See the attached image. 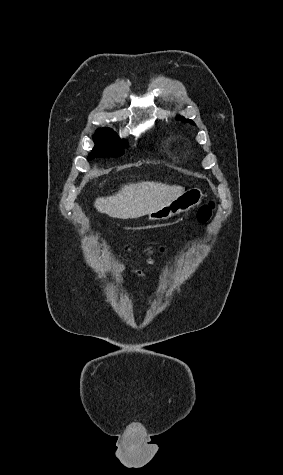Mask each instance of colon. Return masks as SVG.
<instances>
[{
	"mask_svg": "<svg viewBox=\"0 0 283 475\" xmlns=\"http://www.w3.org/2000/svg\"><path fill=\"white\" fill-rule=\"evenodd\" d=\"M214 211H215V204L213 202H210V203H207V204H204L202 206L199 207L198 211H197V221L198 223L200 224H205L207 223L213 216L214 214ZM129 250H126V252H128ZM147 255H151L152 254V249L151 248H147V251H146Z\"/></svg>",
	"mask_w": 283,
	"mask_h": 475,
	"instance_id": "colon-1",
	"label": "colon"
}]
</instances>
